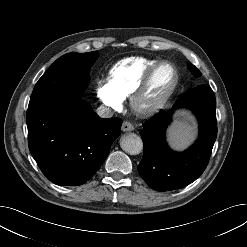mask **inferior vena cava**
Masks as SVG:
<instances>
[{"label": "inferior vena cava", "instance_id": "602c4592", "mask_svg": "<svg viewBox=\"0 0 247 247\" xmlns=\"http://www.w3.org/2000/svg\"><path fill=\"white\" fill-rule=\"evenodd\" d=\"M97 114L101 118H111L114 112L110 108L101 105L97 108Z\"/></svg>", "mask_w": 247, "mask_h": 247}]
</instances>
